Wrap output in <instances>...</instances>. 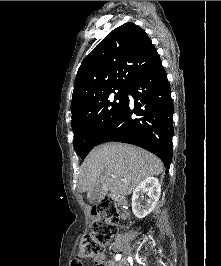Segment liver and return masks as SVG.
<instances>
[{"label":"liver","mask_w":221,"mask_h":266,"mask_svg":"<svg viewBox=\"0 0 221 266\" xmlns=\"http://www.w3.org/2000/svg\"><path fill=\"white\" fill-rule=\"evenodd\" d=\"M162 171L163 163L152 153L133 145L110 142L95 147L83 162L79 189L89 191L102 184L112 195H128L142 180Z\"/></svg>","instance_id":"obj_1"}]
</instances>
